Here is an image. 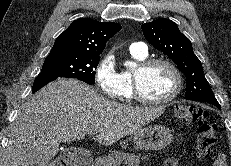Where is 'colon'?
I'll list each match as a JSON object with an SVG mask.
<instances>
[{
	"label": "colon",
	"instance_id": "colon-1",
	"mask_svg": "<svg viewBox=\"0 0 231 166\" xmlns=\"http://www.w3.org/2000/svg\"><path fill=\"white\" fill-rule=\"evenodd\" d=\"M175 117L183 122L194 123L198 127V134L195 144V152L199 162L204 165L211 156L216 143V127L207 120L206 114L197 106L178 105L174 110ZM51 166H63L56 162ZM166 166H177L176 160H169Z\"/></svg>",
	"mask_w": 231,
	"mask_h": 166
}]
</instances>
